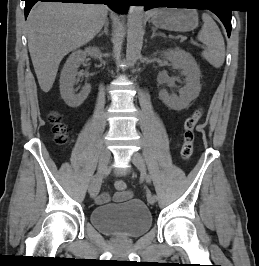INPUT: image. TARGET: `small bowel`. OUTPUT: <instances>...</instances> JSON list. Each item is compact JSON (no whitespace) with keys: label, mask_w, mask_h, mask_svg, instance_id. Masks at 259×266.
<instances>
[{"label":"small bowel","mask_w":259,"mask_h":266,"mask_svg":"<svg viewBox=\"0 0 259 266\" xmlns=\"http://www.w3.org/2000/svg\"><path fill=\"white\" fill-rule=\"evenodd\" d=\"M132 197V193L130 191L125 192H117L114 194L113 198L117 202L128 200ZM109 195L106 193L100 194L96 197L95 202L99 205L105 204L109 201Z\"/></svg>","instance_id":"c3829d8e"}]
</instances>
